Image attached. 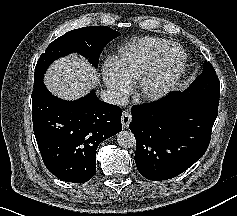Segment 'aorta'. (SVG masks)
<instances>
[{
  "instance_id": "762f6f07",
  "label": "aorta",
  "mask_w": 237,
  "mask_h": 216,
  "mask_svg": "<svg viewBox=\"0 0 237 216\" xmlns=\"http://www.w3.org/2000/svg\"><path fill=\"white\" fill-rule=\"evenodd\" d=\"M117 143L124 149H132L136 146L135 135L131 131H121L117 134Z\"/></svg>"
}]
</instances>
